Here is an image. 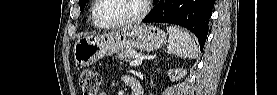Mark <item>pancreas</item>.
<instances>
[{"mask_svg": "<svg viewBox=\"0 0 277 95\" xmlns=\"http://www.w3.org/2000/svg\"><path fill=\"white\" fill-rule=\"evenodd\" d=\"M141 55V53H138L132 49H128V50H124L122 52H120L116 58L121 62V63H124V62H127V61H130V60H133L136 58V56H139Z\"/></svg>", "mask_w": 277, "mask_h": 95, "instance_id": "1", "label": "pancreas"}]
</instances>
